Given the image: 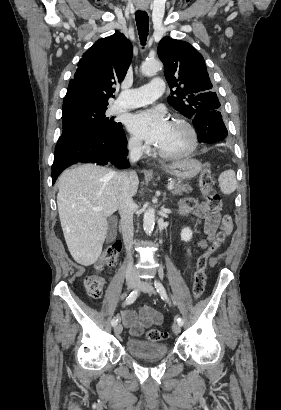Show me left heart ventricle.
Segmentation results:
<instances>
[{"label":"left heart ventricle","instance_id":"left-heart-ventricle-1","mask_svg":"<svg viewBox=\"0 0 281 410\" xmlns=\"http://www.w3.org/2000/svg\"><path fill=\"white\" fill-rule=\"evenodd\" d=\"M190 144V135L181 125L170 122L168 130L157 145V147L166 152H179L187 148Z\"/></svg>","mask_w":281,"mask_h":410}]
</instances>
